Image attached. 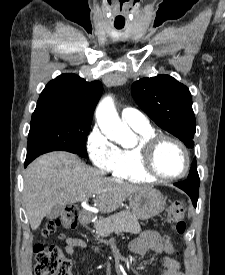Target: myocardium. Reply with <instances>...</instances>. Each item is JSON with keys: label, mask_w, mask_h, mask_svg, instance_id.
Returning a JSON list of instances; mask_svg holds the SVG:
<instances>
[{"label": "myocardium", "mask_w": 225, "mask_h": 275, "mask_svg": "<svg viewBox=\"0 0 225 275\" xmlns=\"http://www.w3.org/2000/svg\"><path fill=\"white\" fill-rule=\"evenodd\" d=\"M172 142L176 144L182 151L184 157V166L181 172L172 176H165L160 174L154 164L155 154L163 142ZM139 153V165L141 170L153 180L159 181H172L184 177L190 168V155L186 145L176 137L165 135V134H155L147 138L140 140L137 146Z\"/></svg>", "instance_id": "myocardium-1"}]
</instances>
